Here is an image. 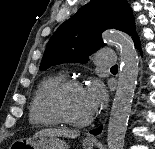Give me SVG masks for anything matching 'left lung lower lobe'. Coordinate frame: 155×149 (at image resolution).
<instances>
[{
    "mask_svg": "<svg viewBox=\"0 0 155 149\" xmlns=\"http://www.w3.org/2000/svg\"><path fill=\"white\" fill-rule=\"evenodd\" d=\"M132 39H133V41H134V43H135V47H136V48H137V47L140 48L139 39H138V36H137L136 32L132 35ZM101 130H102V126H100V127L97 128V129H94V130L90 131V133H92V134H94V135H97V134H99V133L101 132Z\"/></svg>",
    "mask_w": 155,
    "mask_h": 149,
    "instance_id": "1",
    "label": "left lung lower lobe"
}]
</instances>
